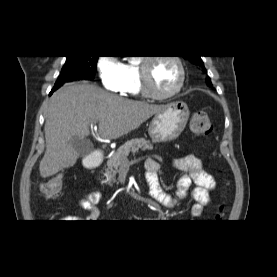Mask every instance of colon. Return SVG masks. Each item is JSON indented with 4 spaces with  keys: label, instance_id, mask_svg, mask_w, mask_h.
<instances>
[{
    "label": "colon",
    "instance_id": "5ec220e1",
    "mask_svg": "<svg viewBox=\"0 0 277 277\" xmlns=\"http://www.w3.org/2000/svg\"><path fill=\"white\" fill-rule=\"evenodd\" d=\"M212 123L209 115L205 111L195 112L190 120L191 133L197 137H206L212 132ZM63 187V178L61 174L54 175L44 180L40 185L43 196L47 199L55 198L59 195ZM224 215V207H220L216 219L220 220Z\"/></svg>",
    "mask_w": 277,
    "mask_h": 277
}]
</instances>
